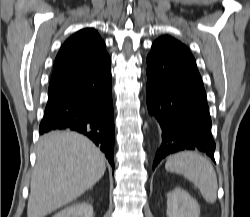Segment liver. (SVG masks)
Here are the masks:
<instances>
[{
  "mask_svg": "<svg viewBox=\"0 0 250 217\" xmlns=\"http://www.w3.org/2000/svg\"><path fill=\"white\" fill-rule=\"evenodd\" d=\"M106 170L101 151L75 132L41 137L31 176L27 217H45L96 184Z\"/></svg>",
  "mask_w": 250,
  "mask_h": 217,
  "instance_id": "obj_1",
  "label": "liver"
}]
</instances>
